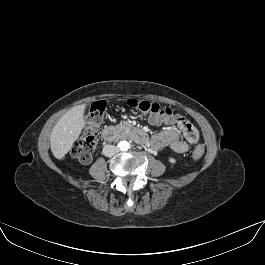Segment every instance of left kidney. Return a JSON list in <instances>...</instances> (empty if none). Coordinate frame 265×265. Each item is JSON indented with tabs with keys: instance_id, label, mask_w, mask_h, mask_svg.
Wrapping results in <instances>:
<instances>
[{
	"instance_id": "obj_1",
	"label": "left kidney",
	"mask_w": 265,
	"mask_h": 265,
	"mask_svg": "<svg viewBox=\"0 0 265 265\" xmlns=\"http://www.w3.org/2000/svg\"><path fill=\"white\" fill-rule=\"evenodd\" d=\"M169 162L172 163V164H175L176 160L174 158H169Z\"/></svg>"
}]
</instances>
